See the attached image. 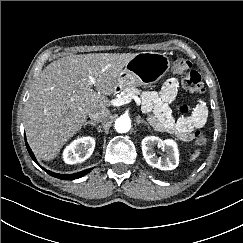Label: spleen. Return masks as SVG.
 Segmentation results:
<instances>
[{
  "label": "spleen",
  "mask_w": 243,
  "mask_h": 243,
  "mask_svg": "<svg viewBox=\"0 0 243 243\" xmlns=\"http://www.w3.org/2000/svg\"><path fill=\"white\" fill-rule=\"evenodd\" d=\"M199 154H200V151L196 150L195 153L191 155L190 161L195 160L199 156Z\"/></svg>",
  "instance_id": "spleen-1"
}]
</instances>
